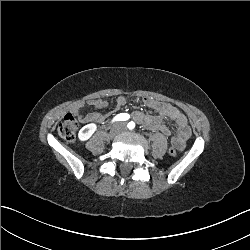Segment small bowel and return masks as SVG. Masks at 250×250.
Wrapping results in <instances>:
<instances>
[{
  "instance_id": "small-bowel-1",
  "label": "small bowel",
  "mask_w": 250,
  "mask_h": 250,
  "mask_svg": "<svg viewBox=\"0 0 250 250\" xmlns=\"http://www.w3.org/2000/svg\"><path fill=\"white\" fill-rule=\"evenodd\" d=\"M99 100L100 99L92 100L89 104L98 109L106 108L108 105L107 101L99 102ZM126 102V98L120 96L117 99V108L124 106ZM144 103L154 110L156 114L152 115L135 112L133 114V119L152 131H157L171 137V144L175 145L178 150H182L191 135V130L185 115L177 107L166 102H161L152 97L144 98ZM74 113L82 122L103 123L105 121V117L98 113L83 115L79 113L78 110ZM163 118L175 123L177 132L174 135H172L171 128L163 121Z\"/></svg>"
}]
</instances>
